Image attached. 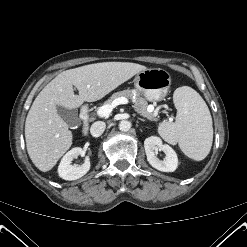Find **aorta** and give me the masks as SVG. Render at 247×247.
<instances>
[{
  "label": "aorta",
  "instance_id": "1",
  "mask_svg": "<svg viewBox=\"0 0 247 247\" xmlns=\"http://www.w3.org/2000/svg\"><path fill=\"white\" fill-rule=\"evenodd\" d=\"M119 128L121 131H129L130 128H131V123L127 120H122L120 123H119Z\"/></svg>",
  "mask_w": 247,
  "mask_h": 247
}]
</instances>
